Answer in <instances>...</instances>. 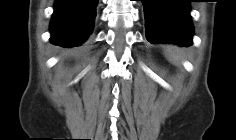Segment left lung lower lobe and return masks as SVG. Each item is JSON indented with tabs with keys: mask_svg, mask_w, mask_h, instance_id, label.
Listing matches in <instances>:
<instances>
[{
	"mask_svg": "<svg viewBox=\"0 0 236 140\" xmlns=\"http://www.w3.org/2000/svg\"><path fill=\"white\" fill-rule=\"evenodd\" d=\"M191 0H142L146 38L150 43L192 45Z\"/></svg>",
	"mask_w": 236,
	"mask_h": 140,
	"instance_id": "left-lung-lower-lobe-1",
	"label": "left lung lower lobe"
}]
</instances>
